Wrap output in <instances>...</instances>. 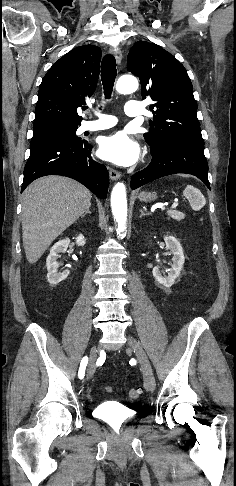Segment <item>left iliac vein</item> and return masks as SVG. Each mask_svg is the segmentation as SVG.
<instances>
[{
    "label": "left iliac vein",
    "mask_w": 236,
    "mask_h": 486,
    "mask_svg": "<svg viewBox=\"0 0 236 486\" xmlns=\"http://www.w3.org/2000/svg\"><path fill=\"white\" fill-rule=\"evenodd\" d=\"M128 347L134 351L138 362L141 365L143 377H144V386L148 391H153L155 389V380L153 375L152 366L150 361L141 346V344L131 336H128L127 339Z\"/></svg>",
    "instance_id": "1"
}]
</instances>
